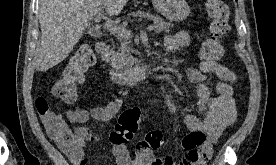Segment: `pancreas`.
Segmentation results:
<instances>
[{"label":"pancreas","mask_w":276,"mask_h":165,"mask_svg":"<svg viewBox=\"0 0 276 165\" xmlns=\"http://www.w3.org/2000/svg\"><path fill=\"white\" fill-rule=\"evenodd\" d=\"M149 18L154 22L153 27L156 33L168 32L171 23L165 22L160 16L150 15ZM120 45L113 46L107 52V61L111 63V66L116 69H123L129 62H133L134 58L130 56L129 37L117 36Z\"/></svg>","instance_id":"obj_1"}]
</instances>
